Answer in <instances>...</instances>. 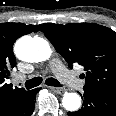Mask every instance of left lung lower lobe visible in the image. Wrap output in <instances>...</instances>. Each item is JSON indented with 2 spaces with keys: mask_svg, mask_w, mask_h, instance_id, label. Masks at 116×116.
<instances>
[{
  "mask_svg": "<svg viewBox=\"0 0 116 116\" xmlns=\"http://www.w3.org/2000/svg\"><path fill=\"white\" fill-rule=\"evenodd\" d=\"M83 89L82 108L76 112H68V116H116L115 91Z\"/></svg>",
  "mask_w": 116,
  "mask_h": 116,
  "instance_id": "0a47b994",
  "label": "left lung lower lobe"
}]
</instances>
